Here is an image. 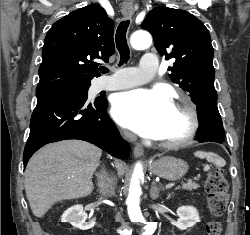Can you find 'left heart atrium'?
<instances>
[{
  "mask_svg": "<svg viewBox=\"0 0 250 235\" xmlns=\"http://www.w3.org/2000/svg\"><path fill=\"white\" fill-rule=\"evenodd\" d=\"M174 106L160 89H136L118 94L112 105L114 119L136 134L158 138Z\"/></svg>",
  "mask_w": 250,
  "mask_h": 235,
  "instance_id": "left-heart-atrium-1",
  "label": "left heart atrium"
}]
</instances>
